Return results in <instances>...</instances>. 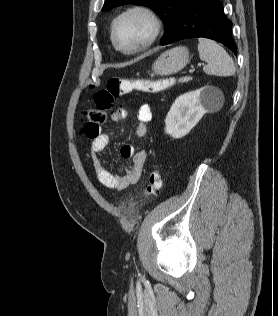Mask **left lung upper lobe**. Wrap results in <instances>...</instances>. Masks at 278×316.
Wrapping results in <instances>:
<instances>
[{"mask_svg": "<svg viewBox=\"0 0 278 316\" xmlns=\"http://www.w3.org/2000/svg\"><path fill=\"white\" fill-rule=\"evenodd\" d=\"M188 0H105L102 11H109L113 7L126 4L137 3L153 9L165 23V32L161 43L173 32L179 16Z\"/></svg>", "mask_w": 278, "mask_h": 316, "instance_id": "obj_1", "label": "left lung upper lobe"}]
</instances>
